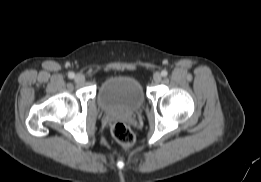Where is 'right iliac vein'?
<instances>
[{"instance_id": "obj_1", "label": "right iliac vein", "mask_w": 261, "mask_h": 182, "mask_svg": "<svg viewBox=\"0 0 261 182\" xmlns=\"http://www.w3.org/2000/svg\"><path fill=\"white\" fill-rule=\"evenodd\" d=\"M75 81H76L77 83H79V84L84 83V81H85V76H84L83 74H77V75L75 76Z\"/></svg>"}]
</instances>
